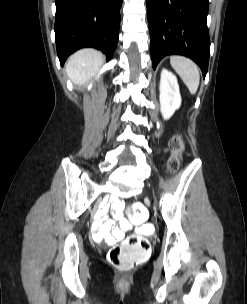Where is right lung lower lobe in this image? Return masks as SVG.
<instances>
[{
    "instance_id": "1",
    "label": "right lung lower lobe",
    "mask_w": 247,
    "mask_h": 304,
    "mask_svg": "<svg viewBox=\"0 0 247 304\" xmlns=\"http://www.w3.org/2000/svg\"><path fill=\"white\" fill-rule=\"evenodd\" d=\"M55 4L60 63L83 47L99 49L110 60L118 40L122 0H55Z\"/></svg>"
}]
</instances>
